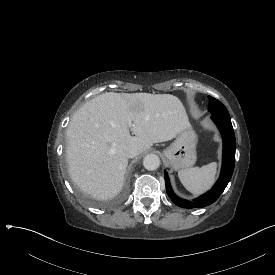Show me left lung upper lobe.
<instances>
[{
    "instance_id": "5c2ea615",
    "label": "left lung upper lobe",
    "mask_w": 275,
    "mask_h": 275,
    "mask_svg": "<svg viewBox=\"0 0 275 275\" xmlns=\"http://www.w3.org/2000/svg\"><path fill=\"white\" fill-rule=\"evenodd\" d=\"M208 98H209V111L211 114L230 118L226 107L220 101L210 96H208Z\"/></svg>"
}]
</instances>
